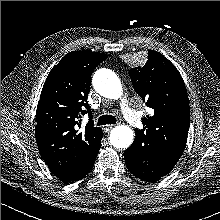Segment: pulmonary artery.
Wrapping results in <instances>:
<instances>
[{"label":"pulmonary artery","mask_w":220,"mask_h":220,"mask_svg":"<svg viewBox=\"0 0 220 220\" xmlns=\"http://www.w3.org/2000/svg\"><path fill=\"white\" fill-rule=\"evenodd\" d=\"M120 107L122 115L131 125L137 128L142 125L140 115L130 106L126 99L122 100Z\"/></svg>","instance_id":"e3ab8cb5"}]
</instances>
